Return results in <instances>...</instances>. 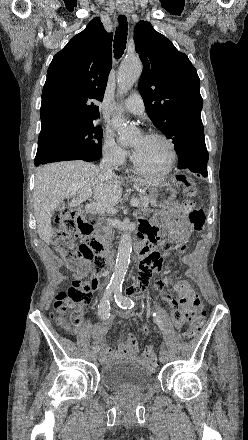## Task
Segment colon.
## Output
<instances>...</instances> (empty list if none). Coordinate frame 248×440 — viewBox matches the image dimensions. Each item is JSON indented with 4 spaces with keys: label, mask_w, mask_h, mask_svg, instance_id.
Returning <instances> with one entry per match:
<instances>
[{
    "label": "colon",
    "mask_w": 248,
    "mask_h": 440,
    "mask_svg": "<svg viewBox=\"0 0 248 440\" xmlns=\"http://www.w3.org/2000/svg\"><path fill=\"white\" fill-rule=\"evenodd\" d=\"M179 180L183 183L188 195L196 194L197 187L190 178L179 176ZM184 208L188 212V223L191 230L201 231L205 224L204 213L193 207L190 202L185 203ZM82 223V216L70 208H64L56 218L53 245L64 260L67 269L74 274V279L69 288L66 291L59 292L54 303L55 318L60 324L65 322L63 314L68 310L90 302L96 285L94 280L87 279L86 275L93 271L95 267L105 266L104 258L91 244L87 242L76 244V240L80 237ZM178 240L181 241L182 238H178ZM174 246L173 241H165L162 245L164 254L170 255ZM159 257L161 256L159 255ZM205 317L204 311L195 312L191 317L187 330L183 333V338L191 340L202 329ZM73 321L75 324H79L81 317L74 314ZM142 333L145 336L149 335L150 327L144 326ZM143 362L149 367L157 365L156 354L152 346H145Z\"/></svg>",
    "instance_id": "5ec220e1"
}]
</instances>
